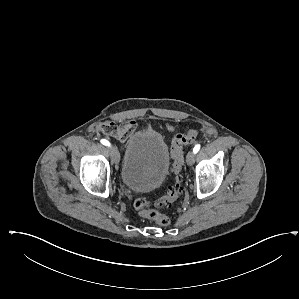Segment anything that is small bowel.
I'll return each instance as SVG.
<instances>
[{"label":"small bowel","instance_id":"c3829d8e","mask_svg":"<svg viewBox=\"0 0 299 299\" xmlns=\"http://www.w3.org/2000/svg\"><path fill=\"white\" fill-rule=\"evenodd\" d=\"M168 129L170 131L173 130L172 127H168ZM136 130L137 123L133 120H129L120 124L107 123V128L104 131L113 138L125 142Z\"/></svg>","mask_w":299,"mask_h":299}]
</instances>
